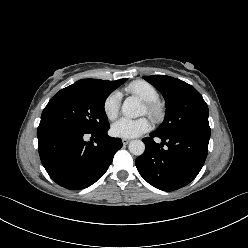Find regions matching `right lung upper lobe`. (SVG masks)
<instances>
[{
    "label": "right lung upper lobe",
    "instance_id": "cb5924a9",
    "mask_svg": "<svg viewBox=\"0 0 248 248\" xmlns=\"http://www.w3.org/2000/svg\"><path fill=\"white\" fill-rule=\"evenodd\" d=\"M121 80L122 79L116 80V81H105V80H100V79H82V80L75 82V84L97 88V87L117 84Z\"/></svg>",
    "mask_w": 248,
    "mask_h": 248
}]
</instances>
